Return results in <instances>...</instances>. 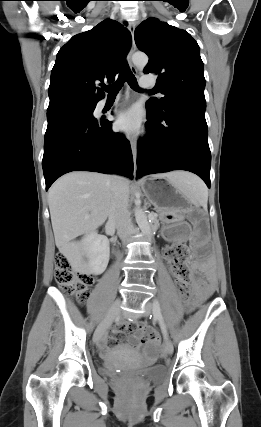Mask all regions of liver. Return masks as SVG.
<instances>
[{"label":"liver","instance_id":"1","mask_svg":"<svg viewBox=\"0 0 261 427\" xmlns=\"http://www.w3.org/2000/svg\"><path fill=\"white\" fill-rule=\"evenodd\" d=\"M182 176V172H172L156 177L177 182ZM125 181L129 188V182ZM111 198L112 177L96 172H71L52 185L48 204L55 243L61 253L75 248L72 240L76 237L98 228L106 221ZM79 251L80 255L84 254L83 246L79 247Z\"/></svg>","mask_w":261,"mask_h":427}]
</instances>
